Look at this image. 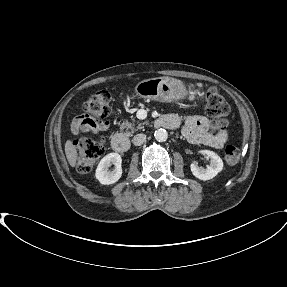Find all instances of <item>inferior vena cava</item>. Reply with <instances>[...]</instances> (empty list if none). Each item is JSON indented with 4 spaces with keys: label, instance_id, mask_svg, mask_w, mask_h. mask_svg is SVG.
Wrapping results in <instances>:
<instances>
[{
    "label": "inferior vena cava",
    "instance_id": "1",
    "mask_svg": "<svg viewBox=\"0 0 287 287\" xmlns=\"http://www.w3.org/2000/svg\"><path fill=\"white\" fill-rule=\"evenodd\" d=\"M146 141V135L145 134H136L133 139H132V143L135 146H140L142 145L144 142Z\"/></svg>",
    "mask_w": 287,
    "mask_h": 287
}]
</instances>
